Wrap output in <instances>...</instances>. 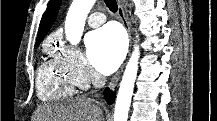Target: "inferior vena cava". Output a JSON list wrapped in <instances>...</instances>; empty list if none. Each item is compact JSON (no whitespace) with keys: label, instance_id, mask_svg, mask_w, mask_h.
<instances>
[{"label":"inferior vena cava","instance_id":"602c4592","mask_svg":"<svg viewBox=\"0 0 217 121\" xmlns=\"http://www.w3.org/2000/svg\"><path fill=\"white\" fill-rule=\"evenodd\" d=\"M105 84V78L104 77H97V79L94 81V85L96 87L103 86Z\"/></svg>","mask_w":217,"mask_h":121}]
</instances>
